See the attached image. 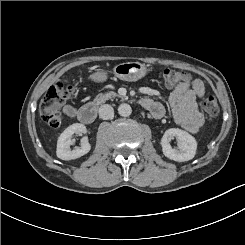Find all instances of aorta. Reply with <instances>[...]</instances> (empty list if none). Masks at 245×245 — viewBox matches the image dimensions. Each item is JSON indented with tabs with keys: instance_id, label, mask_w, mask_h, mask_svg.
Listing matches in <instances>:
<instances>
[{
	"instance_id": "1",
	"label": "aorta",
	"mask_w": 245,
	"mask_h": 245,
	"mask_svg": "<svg viewBox=\"0 0 245 245\" xmlns=\"http://www.w3.org/2000/svg\"><path fill=\"white\" fill-rule=\"evenodd\" d=\"M118 113H119V115H121L123 117H128L132 113V108L129 104L123 103V104L119 105Z\"/></svg>"
}]
</instances>
